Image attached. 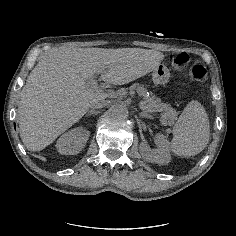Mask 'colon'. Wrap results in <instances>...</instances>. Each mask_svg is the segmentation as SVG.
Wrapping results in <instances>:
<instances>
[{
    "label": "colon",
    "mask_w": 236,
    "mask_h": 236,
    "mask_svg": "<svg viewBox=\"0 0 236 236\" xmlns=\"http://www.w3.org/2000/svg\"><path fill=\"white\" fill-rule=\"evenodd\" d=\"M168 60L175 71L187 65L190 57L187 53L181 51H173L169 54ZM207 75V69L201 60H195L190 69V77L195 81L203 80Z\"/></svg>",
    "instance_id": "5ec220e1"
}]
</instances>
